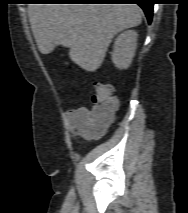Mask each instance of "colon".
Instances as JSON below:
<instances>
[{
  "mask_svg": "<svg viewBox=\"0 0 188 213\" xmlns=\"http://www.w3.org/2000/svg\"><path fill=\"white\" fill-rule=\"evenodd\" d=\"M113 88L109 84L96 82L94 94L91 97L92 109L90 117L96 127L110 122L118 108V100L112 93Z\"/></svg>",
  "mask_w": 188,
  "mask_h": 213,
  "instance_id": "obj_1",
  "label": "colon"
}]
</instances>
